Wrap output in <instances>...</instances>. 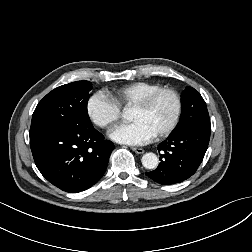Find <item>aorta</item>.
Here are the masks:
<instances>
[{"instance_id": "1", "label": "aorta", "mask_w": 252, "mask_h": 252, "mask_svg": "<svg viewBox=\"0 0 252 252\" xmlns=\"http://www.w3.org/2000/svg\"><path fill=\"white\" fill-rule=\"evenodd\" d=\"M129 116H130L129 111H124L122 114V117L124 119H128ZM141 162L146 169H155L158 166L159 159L156 154L149 152L143 155Z\"/></svg>"}]
</instances>
